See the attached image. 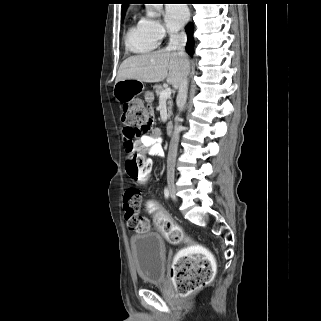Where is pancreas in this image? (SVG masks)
<instances>
[{"instance_id":"cf45deb5","label":"pancreas","mask_w":321,"mask_h":321,"mask_svg":"<svg viewBox=\"0 0 321 321\" xmlns=\"http://www.w3.org/2000/svg\"><path fill=\"white\" fill-rule=\"evenodd\" d=\"M155 89V93L157 95V97H160L161 92L164 90V88L161 85H155L154 86ZM167 105H168V117H170L172 115V106H173V102L171 100V98H168L167 100Z\"/></svg>"}]
</instances>
